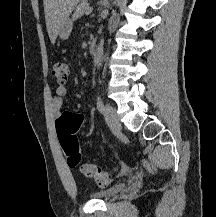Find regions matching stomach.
I'll use <instances>...</instances> for the list:
<instances>
[{"label":"stomach","instance_id":"0dacf381","mask_svg":"<svg viewBox=\"0 0 216 217\" xmlns=\"http://www.w3.org/2000/svg\"><path fill=\"white\" fill-rule=\"evenodd\" d=\"M72 26H73L72 20L69 18L63 23L62 27L58 32V35L62 40L68 39L72 31Z\"/></svg>","mask_w":216,"mask_h":217}]
</instances>
